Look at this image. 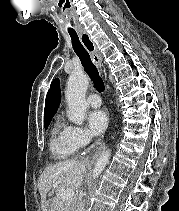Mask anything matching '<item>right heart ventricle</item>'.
<instances>
[{"instance_id": "right-heart-ventricle-1", "label": "right heart ventricle", "mask_w": 179, "mask_h": 211, "mask_svg": "<svg viewBox=\"0 0 179 211\" xmlns=\"http://www.w3.org/2000/svg\"><path fill=\"white\" fill-rule=\"evenodd\" d=\"M66 130L67 126H65L62 121L57 120L51 131L50 152L53 158L58 160L68 158L75 151L68 141Z\"/></svg>"}]
</instances>
